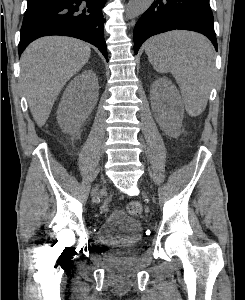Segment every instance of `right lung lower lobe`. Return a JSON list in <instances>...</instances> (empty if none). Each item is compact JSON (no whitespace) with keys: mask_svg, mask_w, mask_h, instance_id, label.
<instances>
[{"mask_svg":"<svg viewBox=\"0 0 245 300\" xmlns=\"http://www.w3.org/2000/svg\"><path fill=\"white\" fill-rule=\"evenodd\" d=\"M106 0H43L27 7L18 52L47 35L71 36L96 46L108 60L102 6Z\"/></svg>","mask_w":245,"mask_h":300,"instance_id":"1","label":"right lung lower lobe"}]
</instances>
